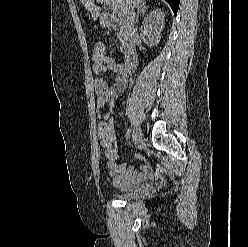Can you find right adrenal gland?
I'll list each match as a JSON object with an SVG mask.
<instances>
[{
  "instance_id": "right-adrenal-gland-1",
  "label": "right adrenal gland",
  "mask_w": 248,
  "mask_h": 247,
  "mask_svg": "<svg viewBox=\"0 0 248 247\" xmlns=\"http://www.w3.org/2000/svg\"><path fill=\"white\" fill-rule=\"evenodd\" d=\"M147 6H146V3H141L139 6H138V9H137V18H136V21L138 22V19H139V15H145L146 14V11H147Z\"/></svg>"
}]
</instances>
